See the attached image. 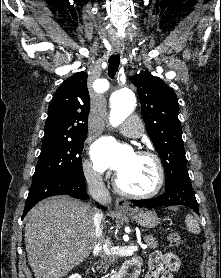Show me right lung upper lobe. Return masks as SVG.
<instances>
[{
	"label": "right lung upper lobe",
	"mask_w": 221,
	"mask_h": 278,
	"mask_svg": "<svg viewBox=\"0 0 221 278\" xmlns=\"http://www.w3.org/2000/svg\"><path fill=\"white\" fill-rule=\"evenodd\" d=\"M85 72L65 80L56 91L48 109L43 143L87 135L90 96Z\"/></svg>",
	"instance_id": "cb5924a9"
}]
</instances>
